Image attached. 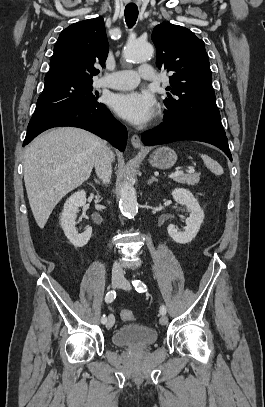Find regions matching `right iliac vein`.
Masks as SVG:
<instances>
[{"label": "right iliac vein", "mask_w": 265, "mask_h": 407, "mask_svg": "<svg viewBox=\"0 0 265 407\" xmlns=\"http://www.w3.org/2000/svg\"><path fill=\"white\" fill-rule=\"evenodd\" d=\"M122 281L123 280L121 278H119V277H113L112 280H111V285H112L113 288H116L122 283ZM114 322H115L114 316L109 315L108 318H107V321H106V328L107 329L112 328V326L114 325Z\"/></svg>", "instance_id": "63e3f726"}]
</instances>
